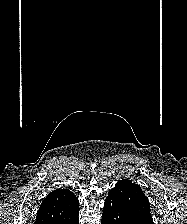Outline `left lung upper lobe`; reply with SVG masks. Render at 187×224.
<instances>
[{"label":"left lung upper lobe","instance_id":"obj_1","mask_svg":"<svg viewBox=\"0 0 187 224\" xmlns=\"http://www.w3.org/2000/svg\"><path fill=\"white\" fill-rule=\"evenodd\" d=\"M110 192L116 193L132 214L153 223L150 203L138 184H134L128 179H123L118 181Z\"/></svg>","mask_w":187,"mask_h":224}]
</instances>
